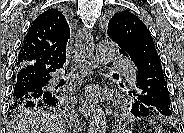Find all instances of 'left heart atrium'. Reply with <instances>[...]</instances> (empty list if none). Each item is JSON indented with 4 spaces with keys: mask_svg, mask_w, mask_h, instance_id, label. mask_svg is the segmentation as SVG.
<instances>
[{
    "mask_svg": "<svg viewBox=\"0 0 184 133\" xmlns=\"http://www.w3.org/2000/svg\"><path fill=\"white\" fill-rule=\"evenodd\" d=\"M89 96L92 97V98H94L96 96V92L93 89H91L89 91Z\"/></svg>",
    "mask_w": 184,
    "mask_h": 133,
    "instance_id": "1",
    "label": "left heart atrium"
}]
</instances>
